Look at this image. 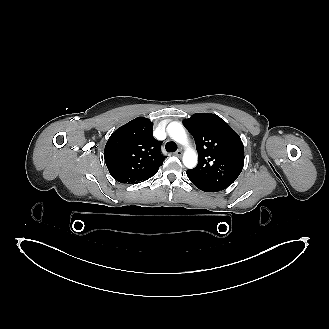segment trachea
<instances>
[{
	"instance_id": "1",
	"label": "trachea",
	"mask_w": 329,
	"mask_h": 329,
	"mask_svg": "<svg viewBox=\"0 0 329 329\" xmlns=\"http://www.w3.org/2000/svg\"><path fill=\"white\" fill-rule=\"evenodd\" d=\"M165 148L168 152H175L177 150V145L173 142H167Z\"/></svg>"
}]
</instances>
